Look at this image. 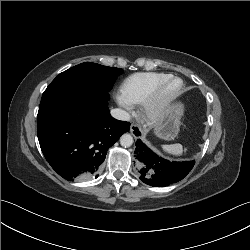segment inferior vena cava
Instances as JSON below:
<instances>
[{
  "label": "inferior vena cava",
  "instance_id": "inferior-vena-cava-1",
  "mask_svg": "<svg viewBox=\"0 0 250 250\" xmlns=\"http://www.w3.org/2000/svg\"><path fill=\"white\" fill-rule=\"evenodd\" d=\"M111 115L118 120H122V121H129L130 120V115L128 112H126L125 110L122 109H112L111 110Z\"/></svg>",
  "mask_w": 250,
  "mask_h": 250
}]
</instances>
